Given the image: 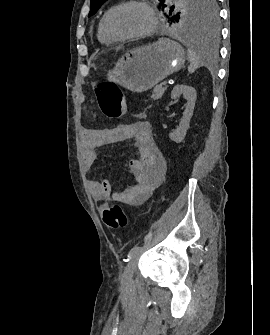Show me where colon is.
Returning <instances> with one entry per match:
<instances>
[{"label":"colon","instance_id":"colon-1","mask_svg":"<svg viewBox=\"0 0 270 335\" xmlns=\"http://www.w3.org/2000/svg\"><path fill=\"white\" fill-rule=\"evenodd\" d=\"M100 111L108 119L120 118L128 110V103L117 87L109 82L93 86ZM103 222L112 230H124L128 225V217L119 204H107L103 208Z\"/></svg>","mask_w":270,"mask_h":335}]
</instances>
